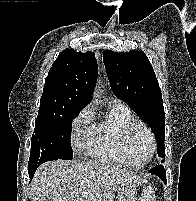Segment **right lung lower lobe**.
<instances>
[{
	"label": "right lung lower lobe",
	"instance_id": "1",
	"mask_svg": "<svg viewBox=\"0 0 196 201\" xmlns=\"http://www.w3.org/2000/svg\"><path fill=\"white\" fill-rule=\"evenodd\" d=\"M37 167L38 166H35V167H32V168H28L30 180L33 178V175H34Z\"/></svg>",
	"mask_w": 196,
	"mask_h": 201
}]
</instances>
